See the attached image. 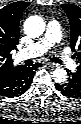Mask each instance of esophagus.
Here are the masks:
<instances>
[{
	"mask_svg": "<svg viewBox=\"0 0 81 124\" xmlns=\"http://www.w3.org/2000/svg\"><path fill=\"white\" fill-rule=\"evenodd\" d=\"M46 65H48L49 67H57V64L53 63V62H47Z\"/></svg>",
	"mask_w": 81,
	"mask_h": 124,
	"instance_id": "esophagus-1",
	"label": "esophagus"
}]
</instances>
